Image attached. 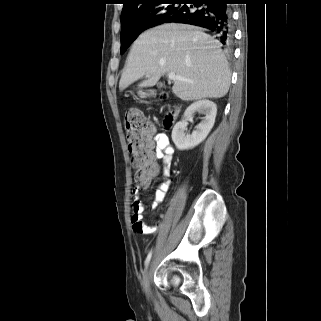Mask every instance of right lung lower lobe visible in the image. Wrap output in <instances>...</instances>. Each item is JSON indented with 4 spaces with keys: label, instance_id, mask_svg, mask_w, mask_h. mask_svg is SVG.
Here are the masks:
<instances>
[{
    "label": "right lung lower lobe",
    "instance_id": "1",
    "mask_svg": "<svg viewBox=\"0 0 321 321\" xmlns=\"http://www.w3.org/2000/svg\"><path fill=\"white\" fill-rule=\"evenodd\" d=\"M231 0H185L164 23H184L210 29L223 45L232 41ZM191 4V5H190Z\"/></svg>",
    "mask_w": 321,
    "mask_h": 321
}]
</instances>
